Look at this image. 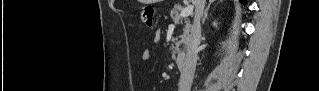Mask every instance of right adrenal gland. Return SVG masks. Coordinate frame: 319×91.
Wrapping results in <instances>:
<instances>
[{"mask_svg":"<svg viewBox=\"0 0 319 91\" xmlns=\"http://www.w3.org/2000/svg\"><path fill=\"white\" fill-rule=\"evenodd\" d=\"M213 2H215V0H209L208 6L206 7L205 12H204V16H203V18H202V23L205 22V19H206L207 16H208V10H209V8H210V5H211Z\"/></svg>","mask_w":319,"mask_h":91,"instance_id":"obj_1","label":"right adrenal gland"}]
</instances>
